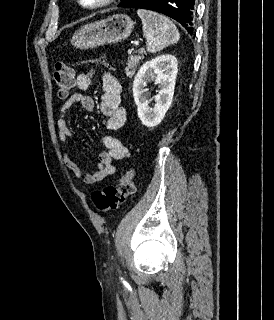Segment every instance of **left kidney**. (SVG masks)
I'll return each mask as SVG.
<instances>
[{"mask_svg":"<svg viewBox=\"0 0 274 320\" xmlns=\"http://www.w3.org/2000/svg\"><path fill=\"white\" fill-rule=\"evenodd\" d=\"M178 62L175 56H157L141 66L133 82V98L137 106L138 118L147 128H154L162 122L174 96ZM148 82L158 84L160 88L153 108H150V94L145 90Z\"/></svg>","mask_w":274,"mask_h":320,"instance_id":"5707ae66","label":"left kidney"}]
</instances>
